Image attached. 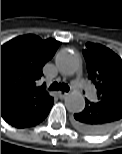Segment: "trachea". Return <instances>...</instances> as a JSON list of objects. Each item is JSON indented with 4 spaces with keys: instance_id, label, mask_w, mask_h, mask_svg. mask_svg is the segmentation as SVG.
<instances>
[{
    "instance_id": "trachea-1",
    "label": "trachea",
    "mask_w": 122,
    "mask_h": 154,
    "mask_svg": "<svg viewBox=\"0 0 122 154\" xmlns=\"http://www.w3.org/2000/svg\"><path fill=\"white\" fill-rule=\"evenodd\" d=\"M49 90L51 91H57V90H62V91H66L68 92L70 90L69 86L65 83H57L54 82L51 84V86L49 87Z\"/></svg>"
}]
</instances>
